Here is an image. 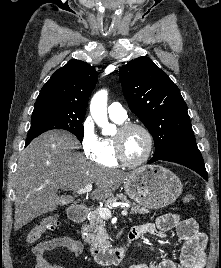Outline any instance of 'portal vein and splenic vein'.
Returning a JSON list of instances; mask_svg holds the SVG:
<instances>
[{"instance_id": "18ae733b", "label": "portal vein and splenic vein", "mask_w": 221, "mask_h": 268, "mask_svg": "<svg viewBox=\"0 0 221 268\" xmlns=\"http://www.w3.org/2000/svg\"><path fill=\"white\" fill-rule=\"evenodd\" d=\"M91 190H92V184H87V185H85L84 188L77 190V193L79 195H81V194H84V193H88ZM97 211H98V214L100 215V217H102V218L109 219V218L112 217V213L108 208L100 207V208L97 209ZM121 214L123 216H126L128 214L127 209H123L121 211Z\"/></svg>"}]
</instances>
